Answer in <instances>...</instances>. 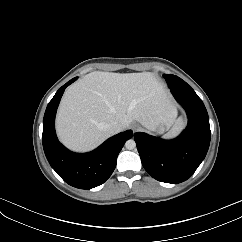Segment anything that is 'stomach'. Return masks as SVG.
I'll return each instance as SVG.
<instances>
[{
	"label": "stomach",
	"mask_w": 242,
	"mask_h": 242,
	"mask_svg": "<svg viewBox=\"0 0 242 242\" xmlns=\"http://www.w3.org/2000/svg\"><path fill=\"white\" fill-rule=\"evenodd\" d=\"M173 122H170V121H166V122H163L157 126H155L153 129L159 133H162L164 132L165 130H167L170 125L172 124Z\"/></svg>",
	"instance_id": "stomach-1"
}]
</instances>
